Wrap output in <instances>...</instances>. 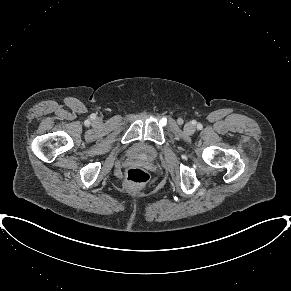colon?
<instances>
[{"label": "colon", "mask_w": 291, "mask_h": 291, "mask_svg": "<svg viewBox=\"0 0 291 291\" xmlns=\"http://www.w3.org/2000/svg\"><path fill=\"white\" fill-rule=\"evenodd\" d=\"M127 186L131 190H136L146 184L149 180L148 172L142 167H128L125 170Z\"/></svg>", "instance_id": "colon-1"}]
</instances>
